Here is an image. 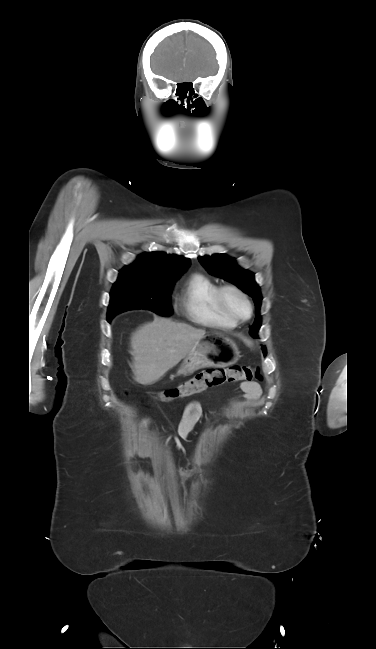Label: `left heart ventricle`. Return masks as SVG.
Instances as JSON below:
<instances>
[{"mask_svg":"<svg viewBox=\"0 0 376 649\" xmlns=\"http://www.w3.org/2000/svg\"><path fill=\"white\" fill-rule=\"evenodd\" d=\"M227 302L233 312L238 315H245L247 313L246 304L236 295L230 294L227 296Z\"/></svg>","mask_w":376,"mask_h":649,"instance_id":"left-heart-ventricle-1","label":"left heart ventricle"}]
</instances>
